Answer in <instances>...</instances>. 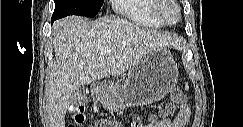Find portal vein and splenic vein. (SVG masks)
<instances>
[{
	"mask_svg": "<svg viewBox=\"0 0 243 127\" xmlns=\"http://www.w3.org/2000/svg\"><path fill=\"white\" fill-rule=\"evenodd\" d=\"M101 54L105 55V56H108L111 54V51L109 49H105V50H102L101 51Z\"/></svg>",
	"mask_w": 243,
	"mask_h": 127,
	"instance_id": "obj_1",
	"label": "portal vein and splenic vein"
}]
</instances>
